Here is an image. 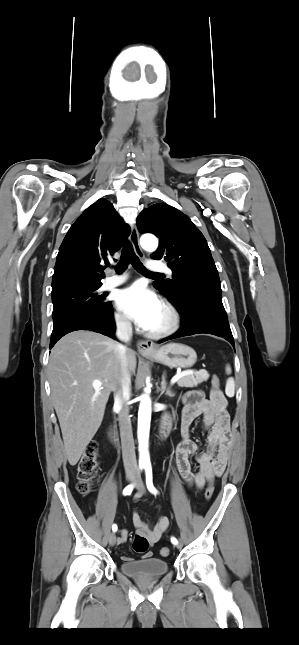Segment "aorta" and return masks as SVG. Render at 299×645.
<instances>
[{
    "mask_svg": "<svg viewBox=\"0 0 299 645\" xmlns=\"http://www.w3.org/2000/svg\"><path fill=\"white\" fill-rule=\"evenodd\" d=\"M140 244L147 251H155L158 247V240L153 235H144L140 239ZM151 421V399L149 395L143 394L140 397V406L138 411V443H139V463L145 465L150 463L148 441Z\"/></svg>",
    "mask_w": 299,
    "mask_h": 645,
    "instance_id": "1",
    "label": "aorta"
}]
</instances>
